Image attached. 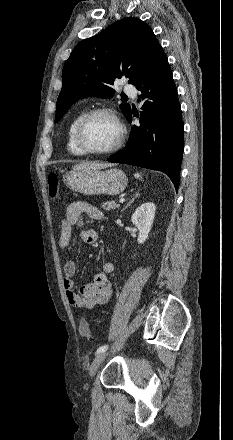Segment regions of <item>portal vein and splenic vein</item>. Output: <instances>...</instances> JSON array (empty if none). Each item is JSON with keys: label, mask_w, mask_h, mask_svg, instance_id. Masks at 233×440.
Masks as SVG:
<instances>
[{"label": "portal vein and splenic vein", "mask_w": 233, "mask_h": 440, "mask_svg": "<svg viewBox=\"0 0 233 440\" xmlns=\"http://www.w3.org/2000/svg\"><path fill=\"white\" fill-rule=\"evenodd\" d=\"M125 201V199H120L119 203H123Z\"/></svg>", "instance_id": "18ae733b"}]
</instances>
